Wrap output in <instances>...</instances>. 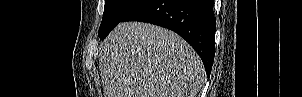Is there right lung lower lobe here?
<instances>
[{
    "mask_svg": "<svg viewBox=\"0 0 302 97\" xmlns=\"http://www.w3.org/2000/svg\"><path fill=\"white\" fill-rule=\"evenodd\" d=\"M124 21L147 22L173 30L195 49L210 76L216 30L213 0H143Z\"/></svg>",
    "mask_w": 302,
    "mask_h": 97,
    "instance_id": "obj_1",
    "label": "right lung lower lobe"
}]
</instances>
